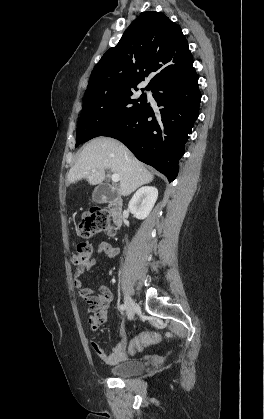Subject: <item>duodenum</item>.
<instances>
[{
    "label": "duodenum",
    "instance_id": "obj_1",
    "mask_svg": "<svg viewBox=\"0 0 264 419\" xmlns=\"http://www.w3.org/2000/svg\"><path fill=\"white\" fill-rule=\"evenodd\" d=\"M108 207L115 226L119 228L124 220L122 200L117 196H110L108 197Z\"/></svg>",
    "mask_w": 264,
    "mask_h": 419
}]
</instances>
